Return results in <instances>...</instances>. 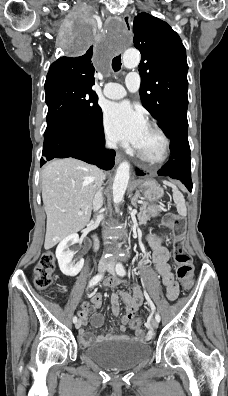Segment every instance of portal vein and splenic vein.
<instances>
[{
	"label": "portal vein and splenic vein",
	"mask_w": 228,
	"mask_h": 396,
	"mask_svg": "<svg viewBox=\"0 0 228 396\" xmlns=\"http://www.w3.org/2000/svg\"><path fill=\"white\" fill-rule=\"evenodd\" d=\"M78 215H83V212H82V211H79V212H78Z\"/></svg>",
	"instance_id": "18ae733b"
}]
</instances>
